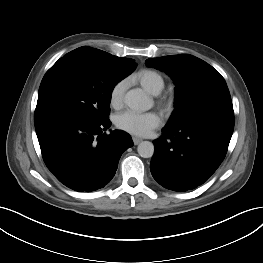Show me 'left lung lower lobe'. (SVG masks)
I'll return each instance as SVG.
<instances>
[{
    "label": "left lung lower lobe",
    "mask_w": 263,
    "mask_h": 263,
    "mask_svg": "<svg viewBox=\"0 0 263 263\" xmlns=\"http://www.w3.org/2000/svg\"><path fill=\"white\" fill-rule=\"evenodd\" d=\"M234 129V114L213 112L166 125L154 140L150 170L161 186L187 191L206 182L222 163Z\"/></svg>",
    "instance_id": "obj_1"
}]
</instances>
